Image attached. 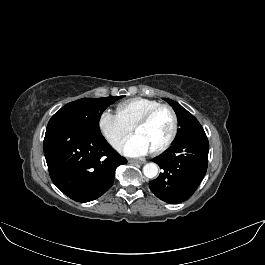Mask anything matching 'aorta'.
<instances>
[{
    "label": "aorta",
    "instance_id": "1",
    "mask_svg": "<svg viewBox=\"0 0 265 265\" xmlns=\"http://www.w3.org/2000/svg\"><path fill=\"white\" fill-rule=\"evenodd\" d=\"M143 173L147 178H154L158 174V166L155 163H147L143 167Z\"/></svg>",
    "mask_w": 265,
    "mask_h": 265
}]
</instances>
